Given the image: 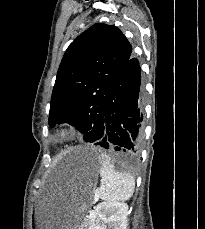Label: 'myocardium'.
<instances>
[{
	"label": "myocardium",
	"mask_w": 205,
	"mask_h": 229,
	"mask_svg": "<svg viewBox=\"0 0 205 229\" xmlns=\"http://www.w3.org/2000/svg\"><path fill=\"white\" fill-rule=\"evenodd\" d=\"M72 134V129L69 127H63L60 128L56 134V139L57 140H65L67 138H69Z\"/></svg>",
	"instance_id": "obj_1"
}]
</instances>
